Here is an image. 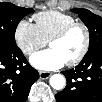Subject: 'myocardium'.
<instances>
[{
    "label": "myocardium",
    "mask_w": 102,
    "mask_h": 102,
    "mask_svg": "<svg viewBox=\"0 0 102 102\" xmlns=\"http://www.w3.org/2000/svg\"><path fill=\"white\" fill-rule=\"evenodd\" d=\"M77 28H81L83 30V32L85 34V43H84V46H83L81 52L78 54V56L76 58H74L68 62H65L66 65L69 67L76 66L79 63H81L89 50L90 31H89L88 27L84 23L76 21L74 23L69 24L68 26H66L65 28L60 30L58 33L53 35L48 42V44L50 45L52 42L62 40L65 37H67L73 30H75Z\"/></svg>",
    "instance_id": "myocardium-1"
}]
</instances>
